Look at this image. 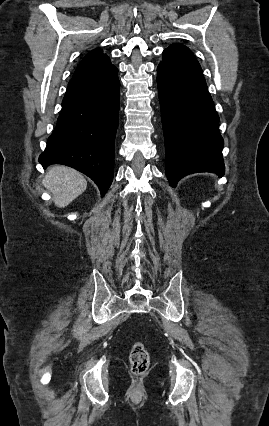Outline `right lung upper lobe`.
<instances>
[{
  "mask_svg": "<svg viewBox=\"0 0 269 426\" xmlns=\"http://www.w3.org/2000/svg\"><path fill=\"white\" fill-rule=\"evenodd\" d=\"M112 66L110 59L100 49L90 51L78 65L73 77L101 72Z\"/></svg>",
  "mask_w": 269,
  "mask_h": 426,
  "instance_id": "obj_1",
  "label": "right lung upper lobe"
}]
</instances>
